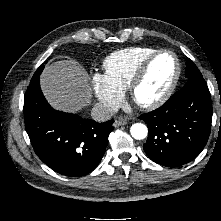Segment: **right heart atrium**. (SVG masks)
Here are the masks:
<instances>
[{
	"label": "right heart atrium",
	"instance_id": "right-heart-atrium-1",
	"mask_svg": "<svg viewBox=\"0 0 221 221\" xmlns=\"http://www.w3.org/2000/svg\"><path fill=\"white\" fill-rule=\"evenodd\" d=\"M92 86L96 98L105 109L113 111L121 103L123 92L105 74L95 73L92 76Z\"/></svg>",
	"mask_w": 221,
	"mask_h": 221
}]
</instances>
